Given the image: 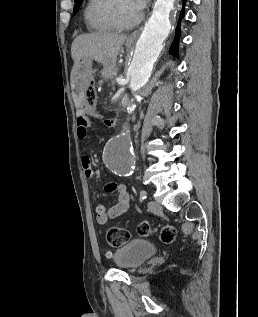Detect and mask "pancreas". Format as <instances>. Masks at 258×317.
Instances as JSON below:
<instances>
[{"label":"pancreas","mask_w":258,"mask_h":317,"mask_svg":"<svg viewBox=\"0 0 258 317\" xmlns=\"http://www.w3.org/2000/svg\"><path fill=\"white\" fill-rule=\"evenodd\" d=\"M114 81V78H109V83H112L110 87L114 92H119V86L117 83H114Z\"/></svg>","instance_id":"1"}]
</instances>
